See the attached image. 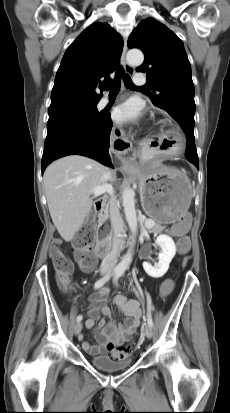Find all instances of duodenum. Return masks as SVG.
<instances>
[{"mask_svg": "<svg viewBox=\"0 0 230 413\" xmlns=\"http://www.w3.org/2000/svg\"><path fill=\"white\" fill-rule=\"evenodd\" d=\"M95 209L101 218V227L99 230V239L94 247V254L97 257H102L105 252L106 238L109 232V222L105 216V199L98 198L94 203Z\"/></svg>", "mask_w": 230, "mask_h": 413, "instance_id": "1", "label": "duodenum"}]
</instances>
